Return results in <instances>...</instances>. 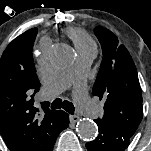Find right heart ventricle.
<instances>
[{"mask_svg": "<svg viewBox=\"0 0 151 151\" xmlns=\"http://www.w3.org/2000/svg\"><path fill=\"white\" fill-rule=\"evenodd\" d=\"M68 37L75 45L77 52L96 49V44L89 34L80 28H68Z\"/></svg>", "mask_w": 151, "mask_h": 151, "instance_id": "1", "label": "right heart ventricle"}]
</instances>
